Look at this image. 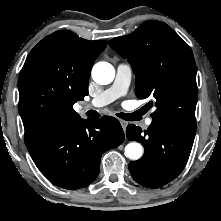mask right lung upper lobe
<instances>
[{
    "instance_id": "cb5924a9",
    "label": "right lung upper lobe",
    "mask_w": 221,
    "mask_h": 221,
    "mask_svg": "<svg viewBox=\"0 0 221 221\" xmlns=\"http://www.w3.org/2000/svg\"><path fill=\"white\" fill-rule=\"evenodd\" d=\"M106 46L60 30L31 50L18 79L26 145L58 122L80 118L73 104L88 94L92 65Z\"/></svg>"
}]
</instances>
